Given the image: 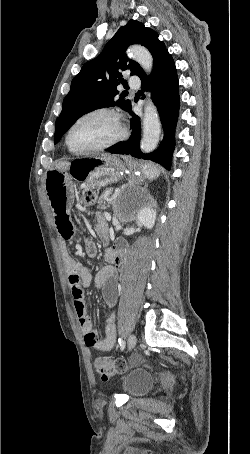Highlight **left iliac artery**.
<instances>
[{
  "label": "left iliac artery",
  "instance_id": "44dca946",
  "mask_svg": "<svg viewBox=\"0 0 250 454\" xmlns=\"http://www.w3.org/2000/svg\"><path fill=\"white\" fill-rule=\"evenodd\" d=\"M118 342H119L120 348L123 350L125 347V341L122 338H119Z\"/></svg>",
  "mask_w": 250,
  "mask_h": 454
}]
</instances>
